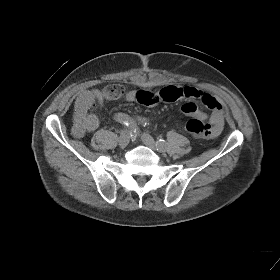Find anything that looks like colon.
I'll return each mask as SVG.
<instances>
[{
    "mask_svg": "<svg viewBox=\"0 0 280 280\" xmlns=\"http://www.w3.org/2000/svg\"><path fill=\"white\" fill-rule=\"evenodd\" d=\"M124 87L120 84H113L107 86L103 90V95L106 98L117 99L124 95ZM186 130L193 136L200 138H208L214 136L216 133L215 128L208 123L203 122L202 120L193 118L190 119L186 124Z\"/></svg>",
    "mask_w": 280,
    "mask_h": 280,
    "instance_id": "1",
    "label": "colon"
}]
</instances>
